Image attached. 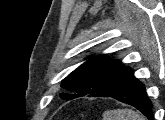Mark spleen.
I'll return each mask as SVG.
<instances>
[{
    "mask_svg": "<svg viewBox=\"0 0 165 120\" xmlns=\"http://www.w3.org/2000/svg\"><path fill=\"white\" fill-rule=\"evenodd\" d=\"M103 120H144V118L132 109H115L105 111Z\"/></svg>",
    "mask_w": 165,
    "mask_h": 120,
    "instance_id": "obj_1",
    "label": "spleen"
}]
</instances>
